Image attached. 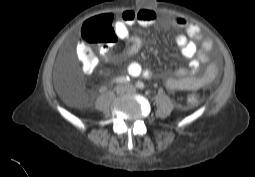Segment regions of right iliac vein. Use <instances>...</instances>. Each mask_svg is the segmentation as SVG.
<instances>
[{
    "label": "right iliac vein",
    "mask_w": 255,
    "mask_h": 177,
    "mask_svg": "<svg viewBox=\"0 0 255 177\" xmlns=\"http://www.w3.org/2000/svg\"><path fill=\"white\" fill-rule=\"evenodd\" d=\"M127 87L126 86H124V85H119L117 88H116V93L118 94V95H123V94H125L126 92H127Z\"/></svg>",
    "instance_id": "obj_1"
}]
</instances>
